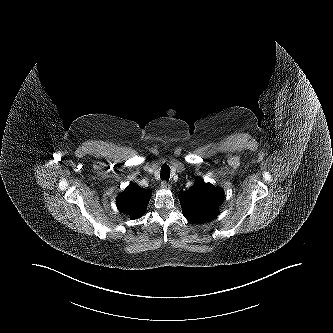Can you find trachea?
I'll return each mask as SVG.
<instances>
[{
  "mask_svg": "<svg viewBox=\"0 0 333 333\" xmlns=\"http://www.w3.org/2000/svg\"><path fill=\"white\" fill-rule=\"evenodd\" d=\"M160 177H161L162 180H165V181L168 182L169 177H170V168H169L168 165L165 164L161 167Z\"/></svg>",
  "mask_w": 333,
  "mask_h": 333,
  "instance_id": "3493384b",
  "label": "trachea"
}]
</instances>
